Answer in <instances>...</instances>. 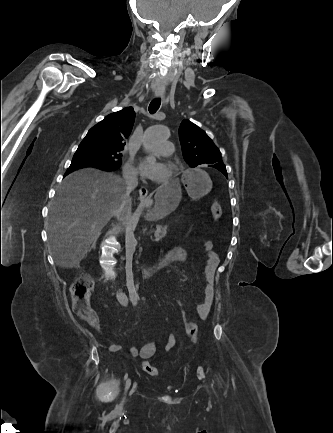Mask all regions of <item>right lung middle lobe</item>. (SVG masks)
<instances>
[{
    "label": "right lung middle lobe",
    "mask_w": 333,
    "mask_h": 433,
    "mask_svg": "<svg viewBox=\"0 0 333 433\" xmlns=\"http://www.w3.org/2000/svg\"><path fill=\"white\" fill-rule=\"evenodd\" d=\"M122 149L102 148L91 141H82L72 162H93L117 169L122 162Z\"/></svg>",
    "instance_id": "dd1d6c3e"
}]
</instances>
